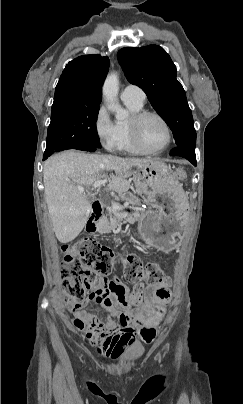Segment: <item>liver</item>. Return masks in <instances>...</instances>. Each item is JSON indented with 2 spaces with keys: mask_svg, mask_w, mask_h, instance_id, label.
<instances>
[{
  "mask_svg": "<svg viewBox=\"0 0 243 404\" xmlns=\"http://www.w3.org/2000/svg\"><path fill=\"white\" fill-rule=\"evenodd\" d=\"M156 158H118V156H94L67 150L54 154L44 164L43 182L53 232L61 244L75 240L86 226L91 204L83 198L82 188L92 186L105 178L107 170H114L109 190L118 194L128 192L132 168L153 164Z\"/></svg>",
  "mask_w": 243,
  "mask_h": 404,
  "instance_id": "liver-1",
  "label": "liver"
}]
</instances>
